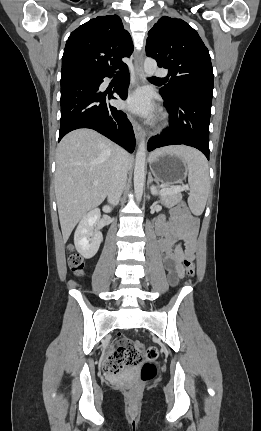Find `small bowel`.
Returning a JSON list of instances; mask_svg holds the SVG:
<instances>
[{"label": "small bowel", "instance_id": "c3829d8e", "mask_svg": "<svg viewBox=\"0 0 261 431\" xmlns=\"http://www.w3.org/2000/svg\"><path fill=\"white\" fill-rule=\"evenodd\" d=\"M197 221L190 216L187 210L177 206L171 210L170 219L160 216L155 223V230L160 236L157 249L162 255L163 263L169 272L173 284L184 277L183 262L187 257L192 258L195 247V231ZM186 244V250L181 247ZM146 350V345H141Z\"/></svg>", "mask_w": 261, "mask_h": 431}]
</instances>
